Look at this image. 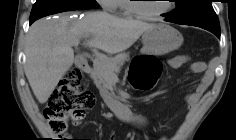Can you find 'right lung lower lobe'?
Returning a JSON list of instances; mask_svg holds the SVG:
<instances>
[{
  "instance_id": "obj_1",
  "label": "right lung lower lobe",
  "mask_w": 236,
  "mask_h": 140,
  "mask_svg": "<svg viewBox=\"0 0 236 140\" xmlns=\"http://www.w3.org/2000/svg\"><path fill=\"white\" fill-rule=\"evenodd\" d=\"M32 22H34V21H33V20H30V24H31Z\"/></svg>"
}]
</instances>
